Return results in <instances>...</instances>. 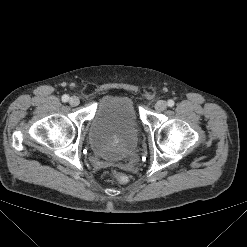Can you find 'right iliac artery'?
Returning <instances> with one entry per match:
<instances>
[{
  "label": "right iliac artery",
  "instance_id": "right-iliac-artery-1",
  "mask_svg": "<svg viewBox=\"0 0 247 247\" xmlns=\"http://www.w3.org/2000/svg\"><path fill=\"white\" fill-rule=\"evenodd\" d=\"M68 100H69V96L68 95L65 94V95L62 96V101L63 102H67Z\"/></svg>",
  "mask_w": 247,
  "mask_h": 247
}]
</instances>
